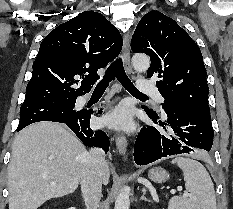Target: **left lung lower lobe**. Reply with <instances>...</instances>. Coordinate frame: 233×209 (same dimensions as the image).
<instances>
[{"mask_svg": "<svg viewBox=\"0 0 233 209\" xmlns=\"http://www.w3.org/2000/svg\"><path fill=\"white\" fill-rule=\"evenodd\" d=\"M150 119L163 129L153 126L143 127L134 146V161L146 165L162 157L188 153L192 148L210 151L213 143V127L210 120L189 111L167 114V120L143 108Z\"/></svg>", "mask_w": 233, "mask_h": 209, "instance_id": "0a47b994", "label": "left lung lower lobe"}]
</instances>
